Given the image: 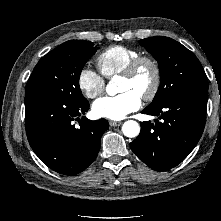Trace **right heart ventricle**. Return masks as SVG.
<instances>
[{
  "instance_id": "right-heart-ventricle-1",
  "label": "right heart ventricle",
  "mask_w": 221,
  "mask_h": 221,
  "mask_svg": "<svg viewBox=\"0 0 221 221\" xmlns=\"http://www.w3.org/2000/svg\"><path fill=\"white\" fill-rule=\"evenodd\" d=\"M141 53L124 45H113L104 49L97 57L100 72L107 78L121 74L128 64Z\"/></svg>"
}]
</instances>
